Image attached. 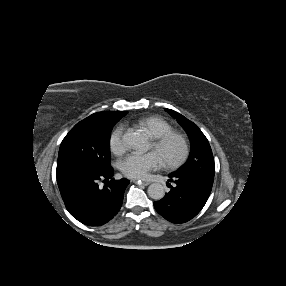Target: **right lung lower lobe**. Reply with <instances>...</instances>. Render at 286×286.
Segmentation results:
<instances>
[{
    "mask_svg": "<svg viewBox=\"0 0 286 286\" xmlns=\"http://www.w3.org/2000/svg\"><path fill=\"white\" fill-rule=\"evenodd\" d=\"M113 169L73 168L57 173V182L66 209L78 221L99 226L120 210L129 180L112 178Z\"/></svg>",
    "mask_w": 286,
    "mask_h": 286,
    "instance_id": "obj_1",
    "label": "right lung lower lobe"
}]
</instances>
